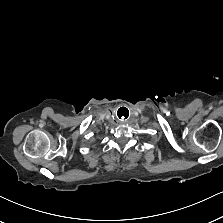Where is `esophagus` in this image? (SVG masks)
I'll return each mask as SVG.
<instances>
[{
  "instance_id": "esophagus-1",
  "label": "esophagus",
  "mask_w": 223,
  "mask_h": 223,
  "mask_svg": "<svg viewBox=\"0 0 223 223\" xmlns=\"http://www.w3.org/2000/svg\"><path fill=\"white\" fill-rule=\"evenodd\" d=\"M115 118L120 123H125L130 118V113L126 108H120L115 113Z\"/></svg>"
}]
</instances>
